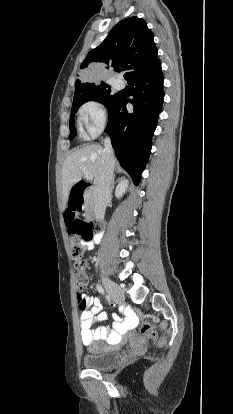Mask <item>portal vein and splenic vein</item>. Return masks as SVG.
<instances>
[{"instance_id": "1", "label": "portal vein and splenic vein", "mask_w": 233, "mask_h": 414, "mask_svg": "<svg viewBox=\"0 0 233 414\" xmlns=\"http://www.w3.org/2000/svg\"><path fill=\"white\" fill-rule=\"evenodd\" d=\"M84 170V169H83ZM85 178L87 179V180H92L93 179V175L92 174H90V173H85Z\"/></svg>"}]
</instances>
